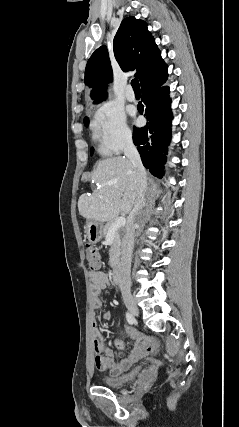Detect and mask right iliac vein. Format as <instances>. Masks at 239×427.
I'll list each match as a JSON object with an SVG mask.
<instances>
[{"label":"right iliac vein","mask_w":239,"mask_h":427,"mask_svg":"<svg viewBox=\"0 0 239 427\" xmlns=\"http://www.w3.org/2000/svg\"><path fill=\"white\" fill-rule=\"evenodd\" d=\"M123 300L124 303L126 305V307L128 308V310L130 311V313L133 316H138L139 315V309L138 306L136 304V301L134 299V297L131 295L130 292H123Z\"/></svg>","instance_id":"63e3f726"}]
</instances>
